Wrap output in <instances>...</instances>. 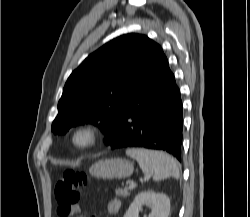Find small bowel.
Instances as JSON below:
<instances>
[{
  "mask_svg": "<svg viewBox=\"0 0 250 217\" xmlns=\"http://www.w3.org/2000/svg\"><path fill=\"white\" fill-rule=\"evenodd\" d=\"M121 209V201L119 199H112L110 200L107 205H106V212L109 214H117ZM81 211V207L80 206H75L74 208H72L68 213L66 214H77ZM82 217V216H80Z\"/></svg>",
  "mask_w": 250,
  "mask_h": 217,
  "instance_id": "c3829d8e",
  "label": "small bowel"
}]
</instances>
